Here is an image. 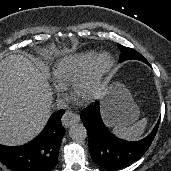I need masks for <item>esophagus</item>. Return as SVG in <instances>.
<instances>
[{
  "label": "esophagus",
  "instance_id": "1",
  "mask_svg": "<svg viewBox=\"0 0 171 171\" xmlns=\"http://www.w3.org/2000/svg\"><path fill=\"white\" fill-rule=\"evenodd\" d=\"M80 117L71 110H67L62 117V124L64 127H69L77 122H79Z\"/></svg>",
  "mask_w": 171,
  "mask_h": 171
}]
</instances>
